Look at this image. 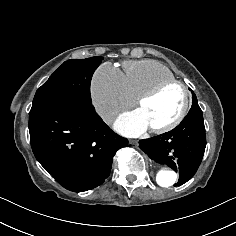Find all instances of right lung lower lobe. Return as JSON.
<instances>
[{
    "label": "right lung lower lobe",
    "instance_id": "right-lung-lower-lobe-1",
    "mask_svg": "<svg viewBox=\"0 0 236 236\" xmlns=\"http://www.w3.org/2000/svg\"><path fill=\"white\" fill-rule=\"evenodd\" d=\"M30 143L39 163L64 188L82 192L110 175L128 140L115 134L92 105H67L29 115Z\"/></svg>",
    "mask_w": 236,
    "mask_h": 236
}]
</instances>
